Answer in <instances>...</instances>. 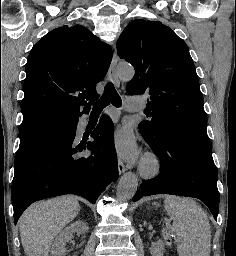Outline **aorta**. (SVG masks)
Wrapping results in <instances>:
<instances>
[{"mask_svg":"<svg viewBox=\"0 0 236 256\" xmlns=\"http://www.w3.org/2000/svg\"><path fill=\"white\" fill-rule=\"evenodd\" d=\"M117 75L123 81H129L134 76V69L131 65L120 64L117 67ZM138 179L132 172L125 173L119 180L117 186V198L120 200L131 199L137 190Z\"/></svg>","mask_w":236,"mask_h":256,"instance_id":"obj_1","label":"aorta"}]
</instances>
